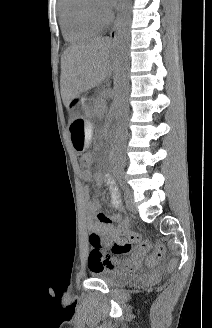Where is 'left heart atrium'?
<instances>
[{
  "mask_svg": "<svg viewBox=\"0 0 212 328\" xmlns=\"http://www.w3.org/2000/svg\"><path fill=\"white\" fill-rule=\"evenodd\" d=\"M103 3L106 8L111 9L115 5L116 0H103Z\"/></svg>",
  "mask_w": 212,
  "mask_h": 328,
  "instance_id": "1",
  "label": "left heart atrium"
}]
</instances>
